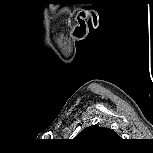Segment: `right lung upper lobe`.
<instances>
[{
  "label": "right lung upper lobe",
  "instance_id": "right-lung-upper-lobe-1",
  "mask_svg": "<svg viewBox=\"0 0 153 153\" xmlns=\"http://www.w3.org/2000/svg\"><path fill=\"white\" fill-rule=\"evenodd\" d=\"M118 138V135L112 129L95 125L85 128L75 137L76 140L83 143L108 141Z\"/></svg>",
  "mask_w": 153,
  "mask_h": 153
}]
</instances>
